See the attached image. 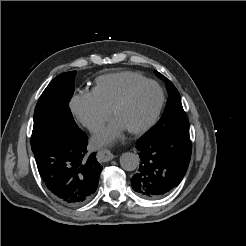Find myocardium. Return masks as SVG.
<instances>
[{
  "label": "myocardium",
  "mask_w": 246,
  "mask_h": 246,
  "mask_svg": "<svg viewBox=\"0 0 246 246\" xmlns=\"http://www.w3.org/2000/svg\"><path fill=\"white\" fill-rule=\"evenodd\" d=\"M147 85H153L157 88L158 92H159V100L157 103V106L152 114V116L150 117V119L143 125L137 127V128H131V129H127V131L131 134L134 135H141L144 134L145 132H147L148 130H150L155 123L157 122L164 103H165V92L162 88V86L155 80H151V79H146L142 82L136 83L133 86H131L119 99L118 101L114 104V106L111 109V114L113 117H116L117 113L119 112V110L124 107L128 101L132 98V96L141 88L147 86Z\"/></svg>",
  "instance_id": "myocardium-1"
}]
</instances>
